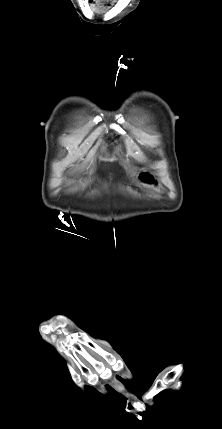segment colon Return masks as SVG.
I'll return each mask as SVG.
<instances>
[{"instance_id":"1","label":"colon","mask_w":222,"mask_h":429,"mask_svg":"<svg viewBox=\"0 0 222 429\" xmlns=\"http://www.w3.org/2000/svg\"><path fill=\"white\" fill-rule=\"evenodd\" d=\"M139 179L141 180V182H143L145 184H153L154 183V178H153L152 174H150L147 171L141 172L139 175Z\"/></svg>"}]
</instances>
